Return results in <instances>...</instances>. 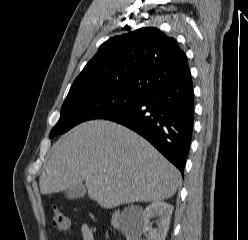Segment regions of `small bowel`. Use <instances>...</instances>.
Here are the masks:
<instances>
[{"mask_svg":"<svg viewBox=\"0 0 248 240\" xmlns=\"http://www.w3.org/2000/svg\"><path fill=\"white\" fill-rule=\"evenodd\" d=\"M80 232L83 240H95L93 230L87 224H82L80 226Z\"/></svg>","mask_w":248,"mask_h":240,"instance_id":"c3829d8e","label":"small bowel"}]
</instances>
